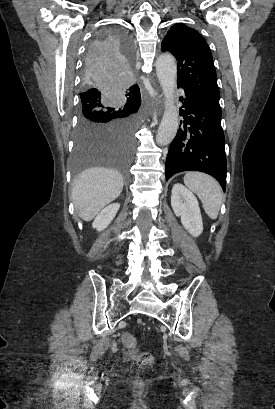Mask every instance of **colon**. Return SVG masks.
Segmentation results:
<instances>
[{
    "label": "colon",
    "mask_w": 275,
    "mask_h": 409,
    "mask_svg": "<svg viewBox=\"0 0 275 409\" xmlns=\"http://www.w3.org/2000/svg\"><path fill=\"white\" fill-rule=\"evenodd\" d=\"M121 341L130 360L145 368L152 365L153 356L149 352H142L139 350L136 338L133 334L125 332L121 337Z\"/></svg>",
    "instance_id": "obj_1"
}]
</instances>
